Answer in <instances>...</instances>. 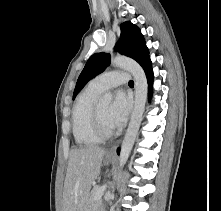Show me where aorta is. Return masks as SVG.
I'll return each instance as SVG.
<instances>
[{"mask_svg":"<svg viewBox=\"0 0 221 211\" xmlns=\"http://www.w3.org/2000/svg\"><path fill=\"white\" fill-rule=\"evenodd\" d=\"M113 66L122 68L129 71L135 82V105L131 115V119L123 139L120 155L119 165L123 167L131 153L138 130L142 121L143 113L145 110V103L147 97V79L142 67L134 60L123 56H117L111 60ZM113 100V95L109 92L103 94L101 102L103 104H109Z\"/></svg>","mask_w":221,"mask_h":211,"instance_id":"obj_1","label":"aorta"}]
</instances>
